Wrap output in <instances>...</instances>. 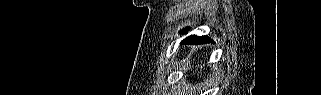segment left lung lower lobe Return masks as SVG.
<instances>
[{"label": "left lung lower lobe", "mask_w": 321, "mask_h": 95, "mask_svg": "<svg viewBox=\"0 0 321 95\" xmlns=\"http://www.w3.org/2000/svg\"><path fill=\"white\" fill-rule=\"evenodd\" d=\"M183 32H186V29L183 30ZM211 42V39L206 36H196V35H191L187 38H185L182 43L184 44H204V43H209ZM213 42V41H212Z\"/></svg>", "instance_id": "0a47b994"}]
</instances>
